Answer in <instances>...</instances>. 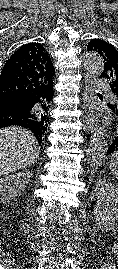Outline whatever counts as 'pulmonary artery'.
Here are the masks:
<instances>
[{
    "instance_id": "1",
    "label": "pulmonary artery",
    "mask_w": 118,
    "mask_h": 269,
    "mask_svg": "<svg viewBox=\"0 0 118 269\" xmlns=\"http://www.w3.org/2000/svg\"><path fill=\"white\" fill-rule=\"evenodd\" d=\"M96 87L101 88V89H106L108 88V84L103 80H98L96 82ZM110 97L115 99V97L112 94H110Z\"/></svg>"
}]
</instances>
